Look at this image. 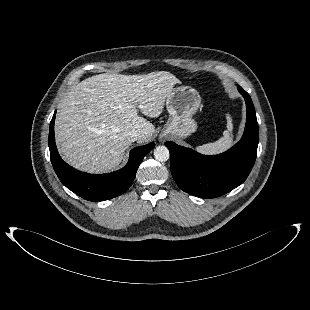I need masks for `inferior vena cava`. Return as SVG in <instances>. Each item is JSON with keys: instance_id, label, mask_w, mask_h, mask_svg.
Wrapping results in <instances>:
<instances>
[{"instance_id": "1", "label": "inferior vena cava", "mask_w": 310, "mask_h": 310, "mask_svg": "<svg viewBox=\"0 0 310 310\" xmlns=\"http://www.w3.org/2000/svg\"><path fill=\"white\" fill-rule=\"evenodd\" d=\"M128 135L130 140L134 142L141 138L142 133L138 130H132L128 133Z\"/></svg>"}]
</instances>
